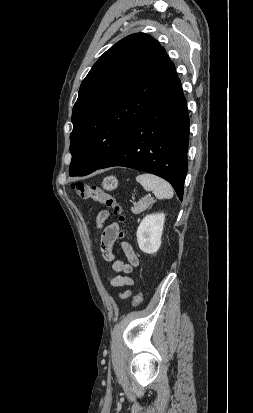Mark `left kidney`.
Returning <instances> with one entry per match:
<instances>
[{"label":"left kidney","instance_id":"obj_1","mask_svg":"<svg viewBox=\"0 0 253 413\" xmlns=\"http://www.w3.org/2000/svg\"><path fill=\"white\" fill-rule=\"evenodd\" d=\"M164 221L165 215L163 213L150 214L143 218L136 234L141 251L153 254L159 250Z\"/></svg>","mask_w":253,"mask_h":413}]
</instances>
